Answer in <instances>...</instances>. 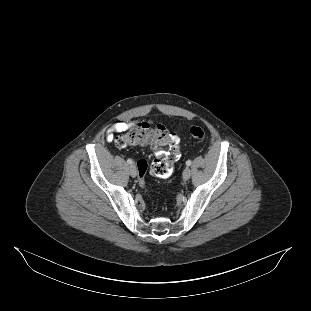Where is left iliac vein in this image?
I'll use <instances>...</instances> for the list:
<instances>
[{
  "instance_id": "obj_1",
  "label": "left iliac vein",
  "mask_w": 311,
  "mask_h": 311,
  "mask_svg": "<svg viewBox=\"0 0 311 311\" xmlns=\"http://www.w3.org/2000/svg\"><path fill=\"white\" fill-rule=\"evenodd\" d=\"M191 177V170L190 168H185L184 171H183V179L185 181L189 180Z\"/></svg>"
}]
</instances>
